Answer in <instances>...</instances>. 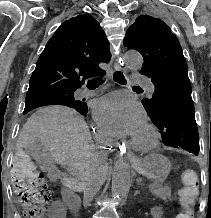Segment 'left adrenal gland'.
Masks as SVG:
<instances>
[{
  "label": "left adrenal gland",
  "mask_w": 211,
  "mask_h": 218,
  "mask_svg": "<svg viewBox=\"0 0 211 218\" xmlns=\"http://www.w3.org/2000/svg\"><path fill=\"white\" fill-rule=\"evenodd\" d=\"M137 194H140L139 190H136L134 196H137Z\"/></svg>",
  "instance_id": "left-adrenal-gland-1"
}]
</instances>
